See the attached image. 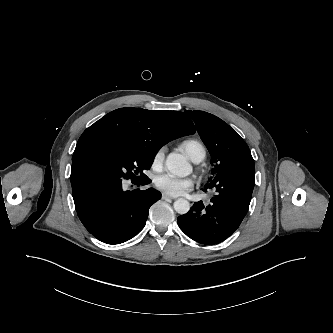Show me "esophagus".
<instances>
[{
  "instance_id": "1",
  "label": "esophagus",
  "mask_w": 333,
  "mask_h": 333,
  "mask_svg": "<svg viewBox=\"0 0 333 333\" xmlns=\"http://www.w3.org/2000/svg\"><path fill=\"white\" fill-rule=\"evenodd\" d=\"M162 199H164V200H167V199H175V198H173L172 196H169V195H167V194H165V193H162Z\"/></svg>"
}]
</instances>
